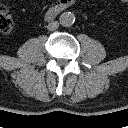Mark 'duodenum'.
Masks as SVG:
<instances>
[{"instance_id":"1","label":"duodenum","mask_w":128,"mask_h":128,"mask_svg":"<svg viewBox=\"0 0 128 128\" xmlns=\"http://www.w3.org/2000/svg\"><path fill=\"white\" fill-rule=\"evenodd\" d=\"M75 0H57L46 12L45 18L47 20H53L59 13L73 6Z\"/></svg>"}]
</instances>
